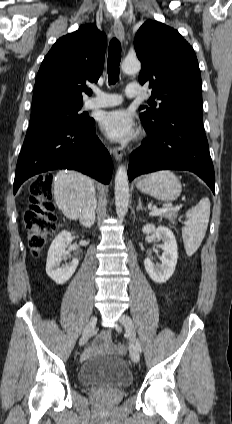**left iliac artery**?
I'll return each mask as SVG.
<instances>
[{"label":"left iliac artery","instance_id":"1","mask_svg":"<svg viewBox=\"0 0 232 424\" xmlns=\"http://www.w3.org/2000/svg\"><path fill=\"white\" fill-rule=\"evenodd\" d=\"M136 345H137L138 350L141 352L142 351L141 344L138 340L136 341Z\"/></svg>","mask_w":232,"mask_h":424}]
</instances>
